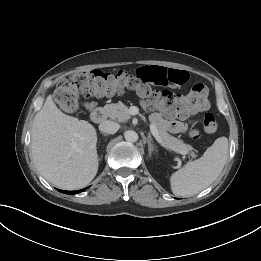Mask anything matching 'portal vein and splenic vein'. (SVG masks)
Returning <instances> with one entry per match:
<instances>
[{
	"instance_id": "obj_1",
	"label": "portal vein and splenic vein",
	"mask_w": 261,
	"mask_h": 261,
	"mask_svg": "<svg viewBox=\"0 0 261 261\" xmlns=\"http://www.w3.org/2000/svg\"><path fill=\"white\" fill-rule=\"evenodd\" d=\"M149 128H150V132L152 133V135L154 136V138L157 140L158 143H160L163 147H167L165 145V143L163 142V140L161 139V137L159 136L157 127L155 126V124L151 123L149 124Z\"/></svg>"
}]
</instances>
